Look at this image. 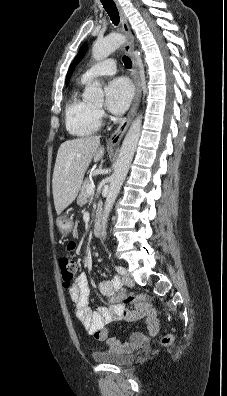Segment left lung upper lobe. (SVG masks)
I'll list each match as a JSON object with an SVG mask.
<instances>
[{
  "mask_svg": "<svg viewBox=\"0 0 227 396\" xmlns=\"http://www.w3.org/2000/svg\"><path fill=\"white\" fill-rule=\"evenodd\" d=\"M87 50V44H84L80 50L79 53L77 55V57L75 58V60L72 62V64L69 67L68 73H67V77H66V84H68L70 77L74 71V68L76 67V65L81 61V59L83 58L85 52Z\"/></svg>",
  "mask_w": 227,
  "mask_h": 396,
  "instance_id": "obj_1",
  "label": "left lung upper lobe"
}]
</instances>
